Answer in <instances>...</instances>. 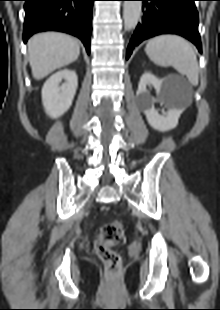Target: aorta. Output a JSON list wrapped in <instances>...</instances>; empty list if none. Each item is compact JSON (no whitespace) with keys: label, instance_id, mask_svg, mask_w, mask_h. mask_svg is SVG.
Masks as SVG:
<instances>
[{"label":"aorta","instance_id":"obj_1","mask_svg":"<svg viewBox=\"0 0 220 310\" xmlns=\"http://www.w3.org/2000/svg\"><path fill=\"white\" fill-rule=\"evenodd\" d=\"M141 15L140 1H124L123 19L125 27L131 30L136 27Z\"/></svg>","mask_w":220,"mask_h":310}]
</instances>
